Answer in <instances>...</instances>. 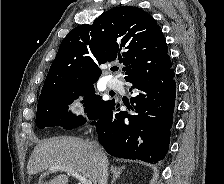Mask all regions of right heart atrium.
Wrapping results in <instances>:
<instances>
[{
  "label": "right heart atrium",
  "mask_w": 224,
  "mask_h": 184,
  "mask_svg": "<svg viewBox=\"0 0 224 184\" xmlns=\"http://www.w3.org/2000/svg\"><path fill=\"white\" fill-rule=\"evenodd\" d=\"M69 108L72 114L80 117L84 116V111L79 101H73Z\"/></svg>",
  "instance_id": "obj_1"
}]
</instances>
